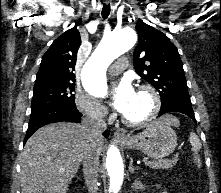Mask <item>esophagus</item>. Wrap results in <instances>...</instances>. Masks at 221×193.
I'll use <instances>...</instances> for the list:
<instances>
[{
  "label": "esophagus",
  "instance_id": "esophagus-1",
  "mask_svg": "<svg viewBox=\"0 0 221 193\" xmlns=\"http://www.w3.org/2000/svg\"><path fill=\"white\" fill-rule=\"evenodd\" d=\"M110 0H106V2H109ZM115 137L117 139H126L127 138V132L125 129H117L114 133Z\"/></svg>",
  "mask_w": 221,
  "mask_h": 193
}]
</instances>
